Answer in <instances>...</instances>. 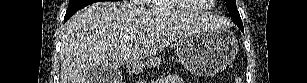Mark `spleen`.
I'll return each instance as SVG.
<instances>
[{
	"mask_svg": "<svg viewBox=\"0 0 307 83\" xmlns=\"http://www.w3.org/2000/svg\"><path fill=\"white\" fill-rule=\"evenodd\" d=\"M236 83H241V79H237V80H236Z\"/></svg>",
	"mask_w": 307,
	"mask_h": 83,
	"instance_id": "1",
	"label": "spleen"
}]
</instances>
